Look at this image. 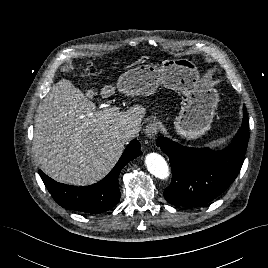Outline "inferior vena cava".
Here are the masks:
<instances>
[{"label": "inferior vena cava", "instance_id": "602c4592", "mask_svg": "<svg viewBox=\"0 0 268 268\" xmlns=\"http://www.w3.org/2000/svg\"><path fill=\"white\" fill-rule=\"evenodd\" d=\"M139 132V129L133 128L125 132H112L111 137L116 140H129L135 137Z\"/></svg>", "mask_w": 268, "mask_h": 268}]
</instances>
